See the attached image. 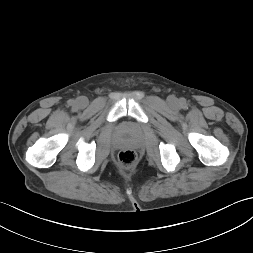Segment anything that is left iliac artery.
I'll list each match as a JSON object with an SVG mask.
<instances>
[{"label": "left iliac artery", "instance_id": "obj_1", "mask_svg": "<svg viewBox=\"0 0 253 253\" xmlns=\"http://www.w3.org/2000/svg\"><path fill=\"white\" fill-rule=\"evenodd\" d=\"M181 105H182L183 107H185V106H186V102H185L184 100H182V101H181Z\"/></svg>", "mask_w": 253, "mask_h": 253}]
</instances>
